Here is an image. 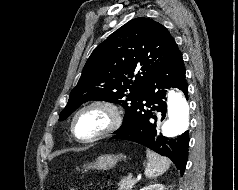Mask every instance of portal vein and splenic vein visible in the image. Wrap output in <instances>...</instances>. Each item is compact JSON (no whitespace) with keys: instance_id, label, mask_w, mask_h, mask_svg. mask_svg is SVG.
<instances>
[{"instance_id":"obj_1","label":"portal vein and splenic vein","mask_w":238,"mask_h":190,"mask_svg":"<svg viewBox=\"0 0 238 190\" xmlns=\"http://www.w3.org/2000/svg\"><path fill=\"white\" fill-rule=\"evenodd\" d=\"M129 177H132V174H129Z\"/></svg>"}]
</instances>
